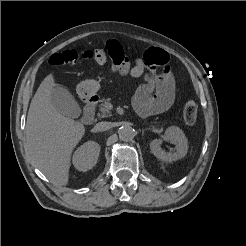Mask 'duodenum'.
Masks as SVG:
<instances>
[{"label":"duodenum","mask_w":246,"mask_h":246,"mask_svg":"<svg viewBox=\"0 0 246 246\" xmlns=\"http://www.w3.org/2000/svg\"><path fill=\"white\" fill-rule=\"evenodd\" d=\"M97 100L98 97L96 95L87 96L85 98V106L82 115V122L84 124H91L93 122Z\"/></svg>","instance_id":"obj_1"}]
</instances>
